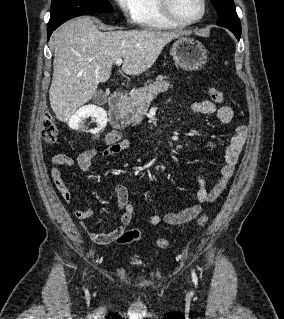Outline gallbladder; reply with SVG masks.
Returning a JSON list of instances; mask_svg holds the SVG:
<instances>
[{"mask_svg":"<svg viewBox=\"0 0 284 319\" xmlns=\"http://www.w3.org/2000/svg\"><path fill=\"white\" fill-rule=\"evenodd\" d=\"M92 102L96 105H104L107 102V94L103 90H97L92 97Z\"/></svg>","mask_w":284,"mask_h":319,"instance_id":"obj_1","label":"gallbladder"}]
</instances>
